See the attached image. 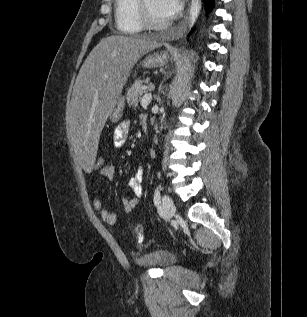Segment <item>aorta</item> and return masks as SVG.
I'll use <instances>...</instances> for the list:
<instances>
[{
    "mask_svg": "<svg viewBox=\"0 0 307 317\" xmlns=\"http://www.w3.org/2000/svg\"><path fill=\"white\" fill-rule=\"evenodd\" d=\"M201 0H191V6H190V11H189V21H190V29L194 26L196 23L200 11H201Z\"/></svg>",
    "mask_w": 307,
    "mask_h": 317,
    "instance_id": "aorta-1",
    "label": "aorta"
}]
</instances>
